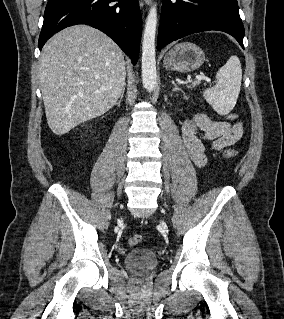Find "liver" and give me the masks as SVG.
I'll list each match as a JSON object with an SVG mask.
<instances>
[{"label": "liver", "instance_id": "6515ba94", "mask_svg": "<svg viewBox=\"0 0 284 319\" xmlns=\"http://www.w3.org/2000/svg\"><path fill=\"white\" fill-rule=\"evenodd\" d=\"M122 50L107 35L87 25L55 34L43 47L41 91L50 129L64 135L103 115L125 86Z\"/></svg>", "mask_w": 284, "mask_h": 319}]
</instances>
